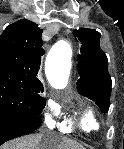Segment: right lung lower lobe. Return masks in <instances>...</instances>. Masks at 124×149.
<instances>
[{"label":"right lung lower lobe","mask_w":124,"mask_h":149,"mask_svg":"<svg viewBox=\"0 0 124 149\" xmlns=\"http://www.w3.org/2000/svg\"><path fill=\"white\" fill-rule=\"evenodd\" d=\"M41 124L39 117L23 121H0V145L8 140L27 135Z\"/></svg>","instance_id":"1"}]
</instances>
